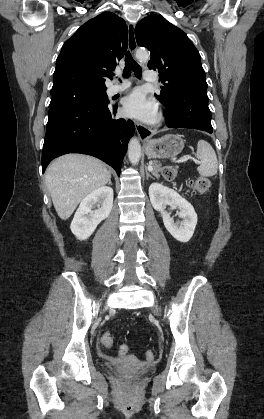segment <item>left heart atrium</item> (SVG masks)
I'll return each instance as SVG.
<instances>
[{
	"instance_id": "39dd6f15",
	"label": "left heart atrium",
	"mask_w": 264,
	"mask_h": 419,
	"mask_svg": "<svg viewBox=\"0 0 264 419\" xmlns=\"http://www.w3.org/2000/svg\"><path fill=\"white\" fill-rule=\"evenodd\" d=\"M123 110L127 116L144 121H152L156 116L155 104L140 90H134L125 98Z\"/></svg>"
}]
</instances>
